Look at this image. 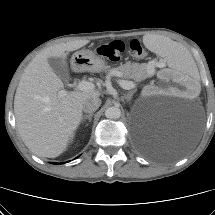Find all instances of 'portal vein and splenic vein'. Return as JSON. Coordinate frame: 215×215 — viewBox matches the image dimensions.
<instances>
[{"mask_svg": "<svg viewBox=\"0 0 215 215\" xmlns=\"http://www.w3.org/2000/svg\"><path fill=\"white\" fill-rule=\"evenodd\" d=\"M119 84L123 89H126V90L133 89L136 86L134 82L127 81V80H120ZM76 89L80 91H91L94 89V84L92 82L82 80L76 85ZM65 94H66L65 90L59 91L60 97L65 96Z\"/></svg>", "mask_w": 215, "mask_h": 215, "instance_id": "obj_1", "label": "portal vein and splenic vein"}]
</instances>
